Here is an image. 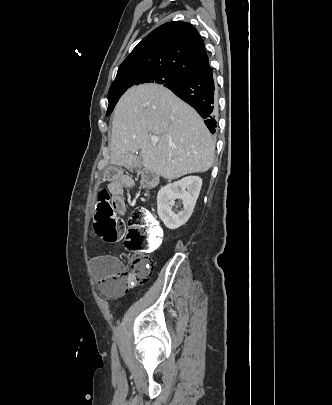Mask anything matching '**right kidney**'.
I'll return each mask as SVG.
<instances>
[{"label": "right kidney", "mask_w": 332, "mask_h": 405, "mask_svg": "<svg viewBox=\"0 0 332 405\" xmlns=\"http://www.w3.org/2000/svg\"><path fill=\"white\" fill-rule=\"evenodd\" d=\"M202 187V179L188 176L162 187L157 194V212L164 225L171 230L184 225L192 215ZM187 189V190H186ZM175 199H181L183 209L172 211Z\"/></svg>", "instance_id": "ca27d5eb"}]
</instances>
